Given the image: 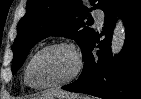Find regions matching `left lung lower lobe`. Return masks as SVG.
<instances>
[{
  "instance_id": "obj_1",
  "label": "left lung lower lobe",
  "mask_w": 141,
  "mask_h": 99,
  "mask_svg": "<svg viewBox=\"0 0 141 99\" xmlns=\"http://www.w3.org/2000/svg\"><path fill=\"white\" fill-rule=\"evenodd\" d=\"M105 39L92 54L95 38L83 53L81 76L62 89L104 99H141V0H115L105 10ZM121 16L126 28L122 51L112 57L111 34L116 17Z\"/></svg>"
}]
</instances>
